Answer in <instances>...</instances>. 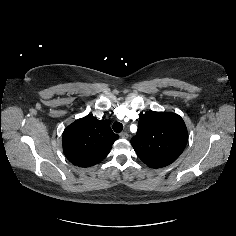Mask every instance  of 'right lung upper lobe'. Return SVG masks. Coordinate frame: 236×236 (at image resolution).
Listing matches in <instances>:
<instances>
[{"label": "right lung upper lobe", "mask_w": 236, "mask_h": 236, "mask_svg": "<svg viewBox=\"0 0 236 236\" xmlns=\"http://www.w3.org/2000/svg\"><path fill=\"white\" fill-rule=\"evenodd\" d=\"M118 137L107 121L87 115L65 129L63 151L79 167L94 166L106 157Z\"/></svg>", "instance_id": "1"}]
</instances>
